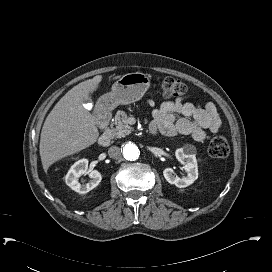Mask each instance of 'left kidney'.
<instances>
[{
  "mask_svg": "<svg viewBox=\"0 0 272 272\" xmlns=\"http://www.w3.org/2000/svg\"><path fill=\"white\" fill-rule=\"evenodd\" d=\"M195 152L196 148L193 145H187L176 150L175 156L177 160L183 165V168L187 172V176L179 178L178 176L174 175L172 168H165L163 175L170 184H174L178 188H185L197 180L198 166Z\"/></svg>",
  "mask_w": 272,
  "mask_h": 272,
  "instance_id": "obj_1",
  "label": "left kidney"
}]
</instances>
